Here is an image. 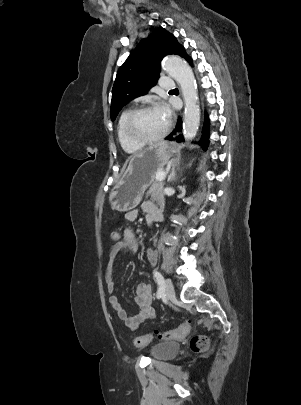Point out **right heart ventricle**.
I'll use <instances>...</instances> for the list:
<instances>
[{
  "label": "right heart ventricle",
  "mask_w": 301,
  "mask_h": 405,
  "mask_svg": "<svg viewBox=\"0 0 301 405\" xmlns=\"http://www.w3.org/2000/svg\"><path fill=\"white\" fill-rule=\"evenodd\" d=\"M130 111H123L117 123V137L122 149L128 153L133 154L138 152L142 146L132 143L125 134V122Z\"/></svg>",
  "instance_id": "obj_1"
}]
</instances>
